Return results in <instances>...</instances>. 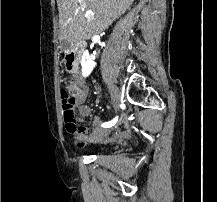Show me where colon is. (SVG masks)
Listing matches in <instances>:
<instances>
[{
  "label": "colon",
  "instance_id": "5ec220e1",
  "mask_svg": "<svg viewBox=\"0 0 217 202\" xmlns=\"http://www.w3.org/2000/svg\"><path fill=\"white\" fill-rule=\"evenodd\" d=\"M73 89L68 87L62 88V100H63V110L64 118L66 122L67 131L70 133L82 132L83 129L78 127L77 118L75 116V105L72 96Z\"/></svg>",
  "mask_w": 217,
  "mask_h": 202
}]
</instances>
